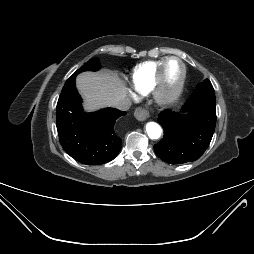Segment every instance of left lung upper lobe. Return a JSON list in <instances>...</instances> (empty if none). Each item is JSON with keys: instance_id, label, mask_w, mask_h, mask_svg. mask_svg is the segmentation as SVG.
<instances>
[{"instance_id": "1", "label": "left lung upper lobe", "mask_w": 254, "mask_h": 254, "mask_svg": "<svg viewBox=\"0 0 254 254\" xmlns=\"http://www.w3.org/2000/svg\"><path fill=\"white\" fill-rule=\"evenodd\" d=\"M197 93L215 95L213 86H212L211 82L208 79H206L203 83L198 85Z\"/></svg>"}]
</instances>
